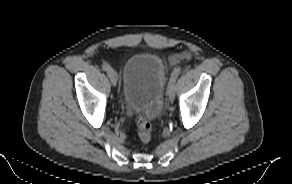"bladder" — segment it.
Listing matches in <instances>:
<instances>
[{
    "label": "bladder",
    "instance_id": "1",
    "mask_svg": "<svg viewBox=\"0 0 292 184\" xmlns=\"http://www.w3.org/2000/svg\"><path fill=\"white\" fill-rule=\"evenodd\" d=\"M167 77L166 67L153 53L130 57L123 70L122 100L130 111L156 119L161 112Z\"/></svg>",
    "mask_w": 292,
    "mask_h": 184
}]
</instances>
